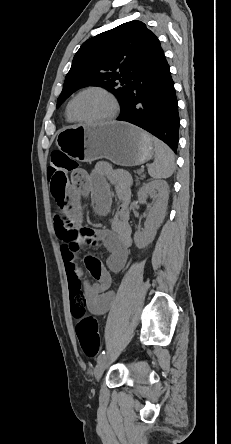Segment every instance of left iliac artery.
<instances>
[{
	"label": "left iliac artery",
	"instance_id": "1",
	"mask_svg": "<svg viewBox=\"0 0 231 444\" xmlns=\"http://www.w3.org/2000/svg\"><path fill=\"white\" fill-rule=\"evenodd\" d=\"M105 356V351L103 350L97 357V362H100L101 359Z\"/></svg>",
	"mask_w": 231,
	"mask_h": 444
}]
</instances>
